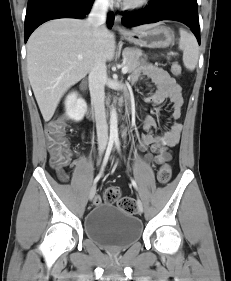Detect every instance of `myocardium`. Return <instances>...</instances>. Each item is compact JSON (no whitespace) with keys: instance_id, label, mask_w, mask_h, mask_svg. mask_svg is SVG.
<instances>
[{"instance_id":"f54148a6","label":"myocardium","mask_w":231,"mask_h":281,"mask_svg":"<svg viewBox=\"0 0 231 281\" xmlns=\"http://www.w3.org/2000/svg\"><path fill=\"white\" fill-rule=\"evenodd\" d=\"M150 3V0H126L124 1V7L128 10L143 9Z\"/></svg>"}]
</instances>
